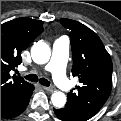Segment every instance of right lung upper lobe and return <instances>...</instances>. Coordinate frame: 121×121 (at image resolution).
I'll use <instances>...</instances> for the list:
<instances>
[{"label":"right lung upper lobe","mask_w":121,"mask_h":121,"mask_svg":"<svg viewBox=\"0 0 121 121\" xmlns=\"http://www.w3.org/2000/svg\"><path fill=\"white\" fill-rule=\"evenodd\" d=\"M42 31L41 20L26 17L1 25V106L31 86L19 76H10V71L21 64V51L25 50Z\"/></svg>","instance_id":"1"}]
</instances>
